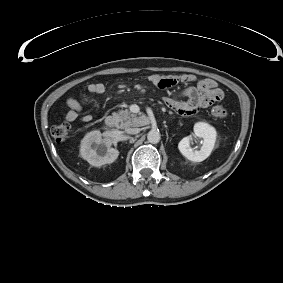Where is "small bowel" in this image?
Returning <instances> with one entry per match:
<instances>
[{
    "label": "small bowel",
    "instance_id": "1",
    "mask_svg": "<svg viewBox=\"0 0 283 283\" xmlns=\"http://www.w3.org/2000/svg\"><path fill=\"white\" fill-rule=\"evenodd\" d=\"M147 81L159 88H167L178 81L191 83L196 81L193 75H180L178 77L163 78L158 74H150L146 77ZM88 92L92 94H102L105 91L104 84L93 82L87 86ZM224 97V92L218 87L217 83L211 78H203L196 82L195 86H189L182 92V99L175 97H165V104L177 110L183 115H191L201 108H206L213 102L219 101ZM68 111L64 118L68 122H73L80 117L83 110L81 103L75 98L66 100ZM83 122L92 121V116L85 114L81 116Z\"/></svg>",
    "mask_w": 283,
    "mask_h": 283
}]
</instances>
